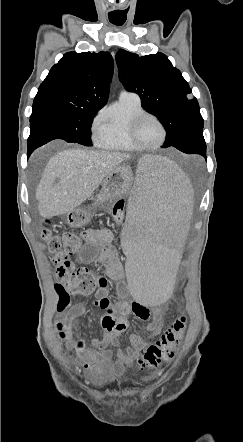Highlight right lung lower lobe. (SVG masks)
I'll list each match as a JSON object with an SVG mask.
<instances>
[{
  "mask_svg": "<svg viewBox=\"0 0 243 442\" xmlns=\"http://www.w3.org/2000/svg\"><path fill=\"white\" fill-rule=\"evenodd\" d=\"M59 139V135L42 131H33L28 138V156L39 146L51 140Z\"/></svg>",
  "mask_w": 243,
  "mask_h": 442,
  "instance_id": "obj_1",
  "label": "right lung lower lobe"
}]
</instances>
